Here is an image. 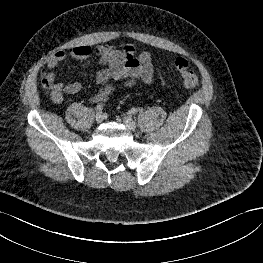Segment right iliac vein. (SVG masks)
Wrapping results in <instances>:
<instances>
[{
	"mask_svg": "<svg viewBox=\"0 0 263 263\" xmlns=\"http://www.w3.org/2000/svg\"><path fill=\"white\" fill-rule=\"evenodd\" d=\"M95 120L97 123H101L104 120V115L102 112H97L95 115Z\"/></svg>",
	"mask_w": 263,
	"mask_h": 263,
	"instance_id": "obj_1",
	"label": "right iliac vein"
}]
</instances>
